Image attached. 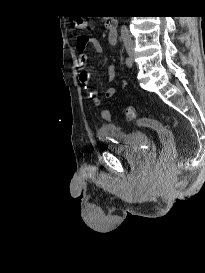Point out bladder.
<instances>
[{
  "mask_svg": "<svg viewBox=\"0 0 205 273\" xmlns=\"http://www.w3.org/2000/svg\"><path fill=\"white\" fill-rule=\"evenodd\" d=\"M104 145L113 153L128 160L142 159L150 149V138L142 131H123L118 125L103 124L98 129Z\"/></svg>",
  "mask_w": 205,
  "mask_h": 273,
  "instance_id": "1",
  "label": "bladder"
}]
</instances>
